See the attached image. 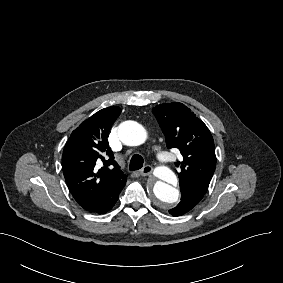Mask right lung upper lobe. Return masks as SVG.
Instances as JSON below:
<instances>
[{
    "label": "right lung upper lobe",
    "mask_w": 283,
    "mask_h": 283,
    "mask_svg": "<svg viewBox=\"0 0 283 283\" xmlns=\"http://www.w3.org/2000/svg\"><path fill=\"white\" fill-rule=\"evenodd\" d=\"M120 113L117 106L98 111L72 132L65 145L63 174L71 194L84 209L100 207L126 183L127 176L114 160L107 140Z\"/></svg>",
    "instance_id": "cb5924a9"
}]
</instances>
